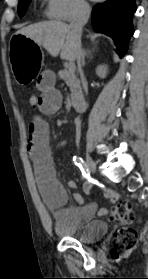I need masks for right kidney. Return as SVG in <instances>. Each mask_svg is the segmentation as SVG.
Returning <instances> with one entry per match:
<instances>
[{"mask_svg":"<svg viewBox=\"0 0 148 279\" xmlns=\"http://www.w3.org/2000/svg\"><path fill=\"white\" fill-rule=\"evenodd\" d=\"M108 66L107 65H99L96 68V74L100 78H105L107 76Z\"/></svg>","mask_w":148,"mask_h":279,"instance_id":"obj_1","label":"right kidney"}]
</instances>
